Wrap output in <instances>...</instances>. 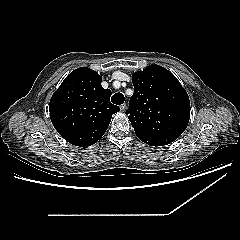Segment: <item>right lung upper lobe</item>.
Here are the masks:
<instances>
[{"instance_id": "cb5924a9", "label": "right lung upper lobe", "mask_w": 240, "mask_h": 240, "mask_svg": "<svg viewBox=\"0 0 240 240\" xmlns=\"http://www.w3.org/2000/svg\"><path fill=\"white\" fill-rule=\"evenodd\" d=\"M96 71L81 67L72 71L50 99V118L69 143L88 147L106 132L112 114L120 108L110 102L111 91L101 86Z\"/></svg>"}]
</instances>
